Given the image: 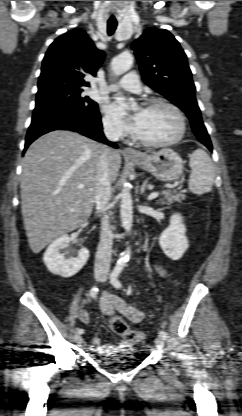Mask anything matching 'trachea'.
<instances>
[{"label": "trachea", "instance_id": "3493384b", "mask_svg": "<svg viewBox=\"0 0 242 416\" xmlns=\"http://www.w3.org/2000/svg\"><path fill=\"white\" fill-rule=\"evenodd\" d=\"M117 28V23L116 22H108L107 23V33L109 36L113 35L115 30Z\"/></svg>", "mask_w": 242, "mask_h": 416}]
</instances>
